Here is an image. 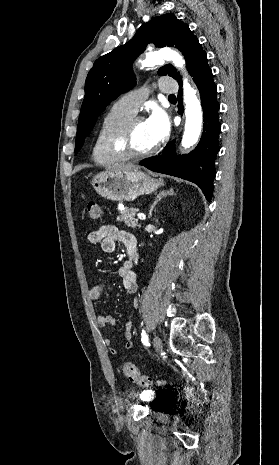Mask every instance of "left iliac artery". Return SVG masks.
Masks as SVG:
<instances>
[{"label": "left iliac artery", "instance_id": "obj_1", "mask_svg": "<svg viewBox=\"0 0 279 465\" xmlns=\"http://www.w3.org/2000/svg\"><path fill=\"white\" fill-rule=\"evenodd\" d=\"M142 343L145 345V346H150V343H149V340H148V336L146 334V332L143 330L142 331Z\"/></svg>", "mask_w": 279, "mask_h": 465}]
</instances>
